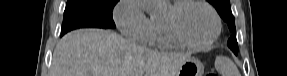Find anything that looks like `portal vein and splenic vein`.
Here are the masks:
<instances>
[{"label":"portal vein and splenic vein","mask_w":287,"mask_h":76,"mask_svg":"<svg viewBox=\"0 0 287 76\" xmlns=\"http://www.w3.org/2000/svg\"><path fill=\"white\" fill-rule=\"evenodd\" d=\"M135 76H142V74H136Z\"/></svg>","instance_id":"portal-vein-and-splenic-vein-1"}]
</instances>
